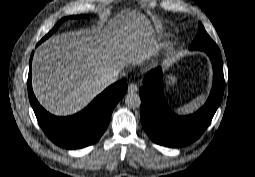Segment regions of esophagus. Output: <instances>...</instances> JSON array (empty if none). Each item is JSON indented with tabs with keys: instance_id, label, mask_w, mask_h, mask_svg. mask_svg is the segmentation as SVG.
I'll use <instances>...</instances> for the list:
<instances>
[{
	"instance_id": "34e87169",
	"label": "esophagus",
	"mask_w": 255,
	"mask_h": 177,
	"mask_svg": "<svg viewBox=\"0 0 255 177\" xmlns=\"http://www.w3.org/2000/svg\"><path fill=\"white\" fill-rule=\"evenodd\" d=\"M137 90H138V87L134 83L130 84L129 87H128V92L129 93H136Z\"/></svg>"
}]
</instances>
